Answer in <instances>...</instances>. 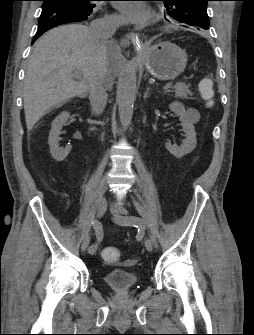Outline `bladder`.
<instances>
[{
    "instance_id": "31cf9c89",
    "label": "bladder",
    "mask_w": 254,
    "mask_h": 335,
    "mask_svg": "<svg viewBox=\"0 0 254 335\" xmlns=\"http://www.w3.org/2000/svg\"><path fill=\"white\" fill-rule=\"evenodd\" d=\"M104 282L116 291H128L136 286L137 277L134 272L125 269H112L105 273Z\"/></svg>"
}]
</instances>
